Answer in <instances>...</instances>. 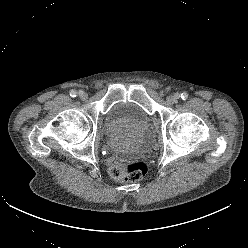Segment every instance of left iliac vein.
I'll return each mask as SVG.
<instances>
[{"label":"left iliac vein","mask_w":248,"mask_h":248,"mask_svg":"<svg viewBox=\"0 0 248 248\" xmlns=\"http://www.w3.org/2000/svg\"><path fill=\"white\" fill-rule=\"evenodd\" d=\"M177 100V95H170L167 97V102L169 104H174Z\"/></svg>","instance_id":"4c4485c4"}]
</instances>
